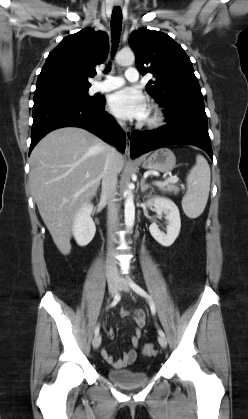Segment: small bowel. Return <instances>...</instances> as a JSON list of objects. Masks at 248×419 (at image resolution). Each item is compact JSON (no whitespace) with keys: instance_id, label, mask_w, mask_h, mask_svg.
Segmentation results:
<instances>
[{"instance_id":"obj_1","label":"small bowel","mask_w":248,"mask_h":419,"mask_svg":"<svg viewBox=\"0 0 248 419\" xmlns=\"http://www.w3.org/2000/svg\"><path fill=\"white\" fill-rule=\"evenodd\" d=\"M120 315L123 317L131 316L136 324L135 331L131 337V348L128 349L122 358L114 359L107 350H102V357L115 369H121L135 362L137 357V349L139 347L140 338L142 336L143 328L146 325V314L143 310H130L124 308L120 311ZM107 337L109 339L115 338V332L113 329L107 331Z\"/></svg>"}]
</instances>
